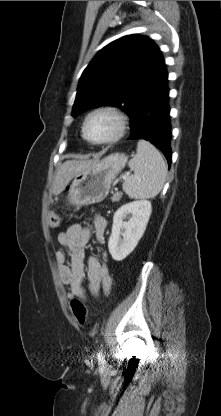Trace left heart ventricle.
I'll return each mask as SVG.
<instances>
[{"label":"left heart ventricle","instance_id":"left-heart-ventricle-1","mask_svg":"<svg viewBox=\"0 0 221 416\" xmlns=\"http://www.w3.org/2000/svg\"><path fill=\"white\" fill-rule=\"evenodd\" d=\"M116 125V120L112 116L98 114L89 120L87 133L93 139H104L114 133Z\"/></svg>","mask_w":221,"mask_h":416}]
</instances>
